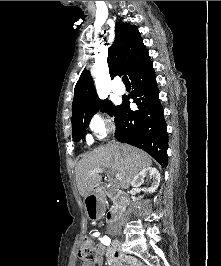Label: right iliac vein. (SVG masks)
<instances>
[{
    "instance_id": "obj_1",
    "label": "right iliac vein",
    "mask_w": 221,
    "mask_h": 266,
    "mask_svg": "<svg viewBox=\"0 0 221 266\" xmlns=\"http://www.w3.org/2000/svg\"><path fill=\"white\" fill-rule=\"evenodd\" d=\"M117 246H118V242H115L114 247H117Z\"/></svg>"
}]
</instances>
